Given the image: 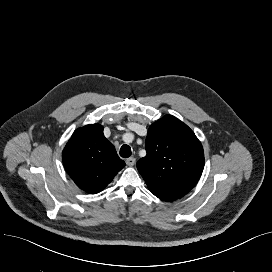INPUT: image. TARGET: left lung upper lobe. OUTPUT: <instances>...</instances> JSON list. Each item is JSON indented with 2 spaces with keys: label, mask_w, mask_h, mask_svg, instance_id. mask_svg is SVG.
Segmentation results:
<instances>
[{
  "label": "left lung upper lobe",
  "mask_w": 272,
  "mask_h": 272,
  "mask_svg": "<svg viewBox=\"0 0 272 272\" xmlns=\"http://www.w3.org/2000/svg\"><path fill=\"white\" fill-rule=\"evenodd\" d=\"M147 154L137 168L151 192L179 198L198 182L204 152L194 132L172 115L151 124L145 141Z\"/></svg>",
  "instance_id": "left-lung-upper-lobe-1"
}]
</instances>
